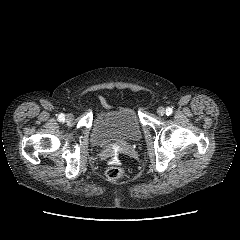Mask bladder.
Returning a JSON list of instances; mask_svg holds the SVG:
<instances>
[{"label":"bladder","instance_id":"1","mask_svg":"<svg viewBox=\"0 0 240 240\" xmlns=\"http://www.w3.org/2000/svg\"><path fill=\"white\" fill-rule=\"evenodd\" d=\"M142 138L139 118L134 110L120 107L109 110L96 119L91 131V143L103 148L112 144L134 145Z\"/></svg>","mask_w":240,"mask_h":240}]
</instances>
